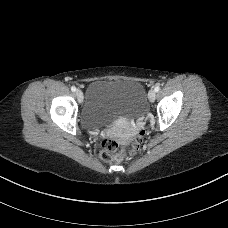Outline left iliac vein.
Here are the masks:
<instances>
[{
	"instance_id": "1",
	"label": "left iliac vein",
	"mask_w": 228,
	"mask_h": 228,
	"mask_svg": "<svg viewBox=\"0 0 228 228\" xmlns=\"http://www.w3.org/2000/svg\"><path fill=\"white\" fill-rule=\"evenodd\" d=\"M148 98L150 102H154L156 99V93L154 90H150L148 93Z\"/></svg>"
}]
</instances>
